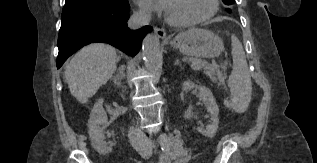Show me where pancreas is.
Segmentation results:
<instances>
[{"label": "pancreas", "mask_w": 317, "mask_h": 163, "mask_svg": "<svg viewBox=\"0 0 317 163\" xmlns=\"http://www.w3.org/2000/svg\"><path fill=\"white\" fill-rule=\"evenodd\" d=\"M188 61L192 64V69H203L212 82H217L223 78L222 73L217 65L208 64L207 62L197 58H189Z\"/></svg>", "instance_id": "cf45deb5"}]
</instances>
